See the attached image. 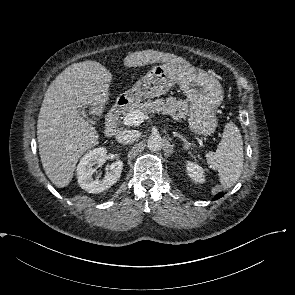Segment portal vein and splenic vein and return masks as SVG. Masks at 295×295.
Segmentation results:
<instances>
[{
  "mask_svg": "<svg viewBox=\"0 0 295 295\" xmlns=\"http://www.w3.org/2000/svg\"><path fill=\"white\" fill-rule=\"evenodd\" d=\"M145 119V115L144 113H142L141 111L137 110L131 114H128L124 120H123V124L124 125H128V126H139L143 120Z\"/></svg>",
  "mask_w": 295,
  "mask_h": 295,
  "instance_id": "obj_1",
  "label": "portal vein and splenic vein"
}]
</instances>
